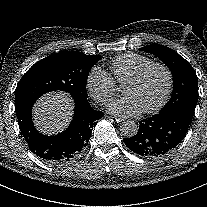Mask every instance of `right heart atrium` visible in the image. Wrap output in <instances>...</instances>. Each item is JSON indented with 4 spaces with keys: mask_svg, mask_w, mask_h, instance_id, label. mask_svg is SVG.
<instances>
[{
    "mask_svg": "<svg viewBox=\"0 0 207 207\" xmlns=\"http://www.w3.org/2000/svg\"><path fill=\"white\" fill-rule=\"evenodd\" d=\"M86 88L90 96L99 104L104 105L116 94L115 85L106 71L93 67L86 78Z\"/></svg>",
    "mask_w": 207,
    "mask_h": 207,
    "instance_id": "obj_1",
    "label": "right heart atrium"
}]
</instances>
